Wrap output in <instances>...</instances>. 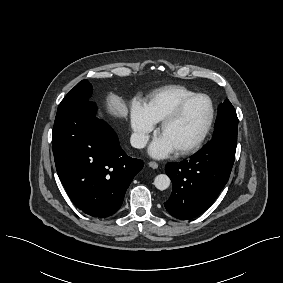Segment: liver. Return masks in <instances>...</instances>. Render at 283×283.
I'll list each match as a JSON object with an SVG mask.
<instances>
[{
  "instance_id": "1",
  "label": "liver",
  "mask_w": 283,
  "mask_h": 283,
  "mask_svg": "<svg viewBox=\"0 0 283 283\" xmlns=\"http://www.w3.org/2000/svg\"><path fill=\"white\" fill-rule=\"evenodd\" d=\"M107 106L109 111L117 117H127L128 110L125 103L115 94H109L107 98Z\"/></svg>"
}]
</instances>
